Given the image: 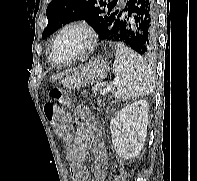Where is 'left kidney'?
<instances>
[{
	"label": "left kidney",
	"mask_w": 197,
	"mask_h": 181,
	"mask_svg": "<svg viewBox=\"0 0 197 181\" xmlns=\"http://www.w3.org/2000/svg\"><path fill=\"white\" fill-rule=\"evenodd\" d=\"M148 102L139 100L120 110L110 121L116 153L124 159L138 156L144 146L148 125Z\"/></svg>",
	"instance_id": "obj_1"
}]
</instances>
